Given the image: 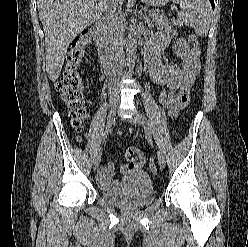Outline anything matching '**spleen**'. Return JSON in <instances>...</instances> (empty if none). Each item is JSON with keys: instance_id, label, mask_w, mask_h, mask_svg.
I'll use <instances>...</instances> for the list:
<instances>
[{"instance_id": "obj_1", "label": "spleen", "mask_w": 248, "mask_h": 247, "mask_svg": "<svg viewBox=\"0 0 248 247\" xmlns=\"http://www.w3.org/2000/svg\"><path fill=\"white\" fill-rule=\"evenodd\" d=\"M179 4L178 20L194 28L201 37L208 34L211 22V5L209 0H172Z\"/></svg>"}]
</instances>
